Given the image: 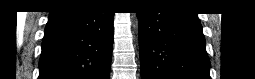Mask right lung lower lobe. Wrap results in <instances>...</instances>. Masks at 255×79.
Wrapping results in <instances>:
<instances>
[{"label":"right lung lower lobe","mask_w":255,"mask_h":79,"mask_svg":"<svg viewBox=\"0 0 255 79\" xmlns=\"http://www.w3.org/2000/svg\"><path fill=\"white\" fill-rule=\"evenodd\" d=\"M113 15L95 6L50 12L39 62V79H109Z\"/></svg>","instance_id":"right-lung-lower-lobe-1"}]
</instances>
